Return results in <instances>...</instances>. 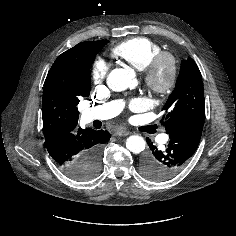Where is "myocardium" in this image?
I'll return each mask as SVG.
<instances>
[{
    "label": "myocardium",
    "instance_id": "myocardium-1",
    "mask_svg": "<svg viewBox=\"0 0 236 236\" xmlns=\"http://www.w3.org/2000/svg\"><path fill=\"white\" fill-rule=\"evenodd\" d=\"M167 73L163 76V69ZM179 76V60L170 51H161L142 70V78L145 86L156 96L169 95L177 83Z\"/></svg>",
    "mask_w": 236,
    "mask_h": 236
}]
</instances>
